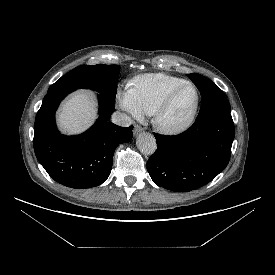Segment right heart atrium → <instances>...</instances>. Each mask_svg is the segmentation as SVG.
Segmentation results:
<instances>
[{
	"label": "right heart atrium",
	"instance_id": "obj_1",
	"mask_svg": "<svg viewBox=\"0 0 275 275\" xmlns=\"http://www.w3.org/2000/svg\"><path fill=\"white\" fill-rule=\"evenodd\" d=\"M120 107L134 118H140L143 113L139 109L134 96L133 88H128L118 94Z\"/></svg>",
	"mask_w": 275,
	"mask_h": 275
}]
</instances>
